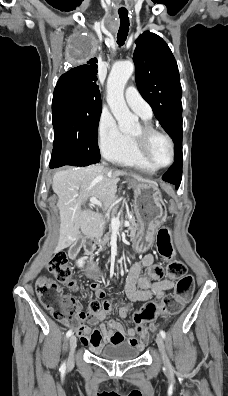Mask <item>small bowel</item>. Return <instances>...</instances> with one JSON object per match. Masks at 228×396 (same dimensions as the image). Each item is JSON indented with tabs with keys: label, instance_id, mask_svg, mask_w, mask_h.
<instances>
[{
	"label": "small bowel",
	"instance_id": "c3829d8e",
	"mask_svg": "<svg viewBox=\"0 0 228 396\" xmlns=\"http://www.w3.org/2000/svg\"><path fill=\"white\" fill-rule=\"evenodd\" d=\"M143 271H145L143 273ZM163 268L155 264L153 254L144 255L140 261L133 264L125 282V293L132 302H147L153 299H161L166 292L173 288L172 279H164ZM88 294H93L97 298L105 297L104 291L97 282H92L87 288ZM111 311L110 303L103 301V309L96 315H86L84 319L90 323L100 322L98 328L90 329L86 325L77 328V334L81 343L91 351H96L104 344L112 342H127L139 349H143L148 335H136V329L129 327L124 329L118 318H113L108 323L102 322ZM128 314V308L123 307L118 312L119 318H124Z\"/></svg>",
	"mask_w": 228,
	"mask_h": 396
}]
</instances>
